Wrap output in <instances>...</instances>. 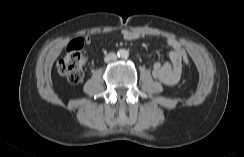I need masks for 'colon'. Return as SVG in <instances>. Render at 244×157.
Masks as SVG:
<instances>
[{"mask_svg": "<svg viewBox=\"0 0 244 157\" xmlns=\"http://www.w3.org/2000/svg\"><path fill=\"white\" fill-rule=\"evenodd\" d=\"M86 59L87 57L83 53V41L76 39L69 44L65 55L58 60L57 70L71 83H78L83 79V64ZM182 61L187 66L190 64V58L186 53L183 55Z\"/></svg>", "mask_w": 244, "mask_h": 157, "instance_id": "1", "label": "colon"}]
</instances>
